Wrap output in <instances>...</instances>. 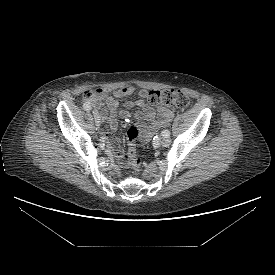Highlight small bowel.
<instances>
[{
    "label": "small bowel",
    "instance_id": "1",
    "mask_svg": "<svg viewBox=\"0 0 275 275\" xmlns=\"http://www.w3.org/2000/svg\"><path fill=\"white\" fill-rule=\"evenodd\" d=\"M95 99L90 104L97 107L102 112V119L104 123V136L109 133H114L118 128L117 116L127 117L129 113L126 109L138 107L134 113V118L138 122L141 129L139 140L147 142L153 134L159 129L166 127L173 118L174 109L159 105L157 110L151 107L147 102L148 91L141 89L137 91V99L135 101H128L123 104L124 109L118 111L119 99L129 97L136 93L133 86H124L114 90L112 93L105 89H98ZM114 149L115 158L119 162L127 160V155L124 154L123 148L119 143L112 145Z\"/></svg>",
    "mask_w": 275,
    "mask_h": 275
}]
</instances>
